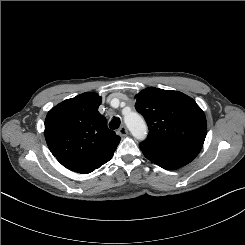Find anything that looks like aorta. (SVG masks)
<instances>
[{"mask_svg":"<svg viewBox=\"0 0 245 245\" xmlns=\"http://www.w3.org/2000/svg\"><path fill=\"white\" fill-rule=\"evenodd\" d=\"M125 123L130 130L131 134L138 140L145 139L147 135V126L143 118L136 114L130 113L125 117Z\"/></svg>","mask_w":245,"mask_h":245,"instance_id":"762f6f07","label":"aorta"}]
</instances>
